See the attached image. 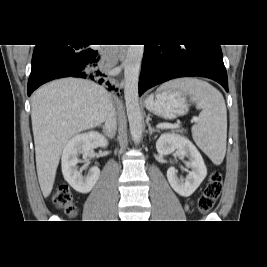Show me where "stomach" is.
Instances as JSON below:
<instances>
[{
	"label": "stomach",
	"mask_w": 267,
	"mask_h": 267,
	"mask_svg": "<svg viewBox=\"0 0 267 267\" xmlns=\"http://www.w3.org/2000/svg\"><path fill=\"white\" fill-rule=\"evenodd\" d=\"M145 107L153 114L168 120L185 115L189 110L185 95L174 89L150 95L145 99Z\"/></svg>",
	"instance_id": "0dacf381"
}]
</instances>
